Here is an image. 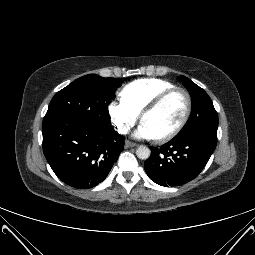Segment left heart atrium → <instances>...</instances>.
<instances>
[{"label": "left heart atrium", "mask_w": 255, "mask_h": 255, "mask_svg": "<svg viewBox=\"0 0 255 255\" xmlns=\"http://www.w3.org/2000/svg\"><path fill=\"white\" fill-rule=\"evenodd\" d=\"M135 137L139 139H155V135L151 131V129L145 124L141 123L140 126L138 127Z\"/></svg>", "instance_id": "left-heart-atrium-1"}]
</instances>
